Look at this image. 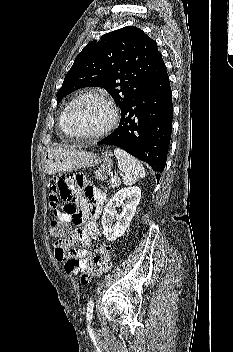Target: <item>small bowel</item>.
Returning <instances> with one entry per match:
<instances>
[{
    "instance_id": "obj_1",
    "label": "small bowel",
    "mask_w": 233,
    "mask_h": 352,
    "mask_svg": "<svg viewBox=\"0 0 233 352\" xmlns=\"http://www.w3.org/2000/svg\"><path fill=\"white\" fill-rule=\"evenodd\" d=\"M72 201L77 203V208L65 210ZM105 201V193L81 174L53 178L49 191L50 207L59 221L70 226L66 246H61L58 241L55 243V257L64 262L68 274L85 269L91 261L94 253L92 241L99 233L97 219Z\"/></svg>"
}]
</instances>
